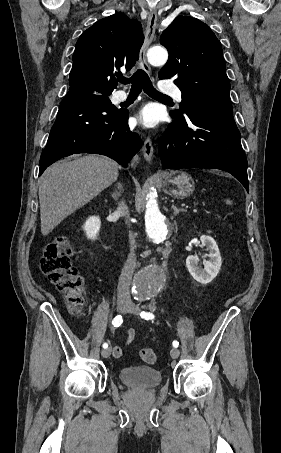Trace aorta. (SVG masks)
Returning <instances> with one entry per match:
<instances>
[{
  "mask_svg": "<svg viewBox=\"0 0 281 453\" xmlns=\"http://www.w3.org/2000/svg\"><path fill=\"white\" fill-rule=\"evenodd\" d=\"M148 61L153 66H162L167 62L168 53L163 47L155 46L147 53ZM145 227L149 238L154 243H161L169 236V228L165 216L159 210L157 194L154 187L147 194ZM165 274L157 265H149L136 275L133 281L135 295L141 299H149L163 287Z\"/></svg>",
  "mask_w": 281,
  "mask_h": 453,
  "instance_id": "1",
  "label": "aorta"
}]
</instances>
